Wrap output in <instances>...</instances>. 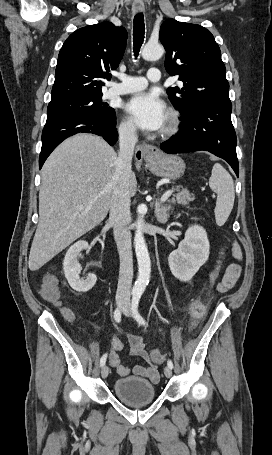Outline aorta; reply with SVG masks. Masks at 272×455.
I'll return each mask as SVG.
<instances>
[{
    "mask_svg": "<svg viewBox=\"0 0 272 455\" xmlns=\"http://www.w3.org/2000/svg\"><path fill=\"white\" fill-rule=\"evenodd\" d=\"M163 54L164 48L158 43H147L142 49V57L145 60H158ZM137 212L138 219L136 223L134 246L138 261V278L134 284L133 291L142 294L149 283L151 272V261L142 230V222L147 212V206L145 204H140Z\"/></svg>",
    "mask_w": 272,
    "mask_h": 455,
    "instance_id": "aorta-1",
    "label": "aorta"
}]
</instances>
